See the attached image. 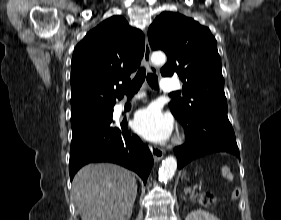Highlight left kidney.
<instances>
[{"label":"left kidney","mask_w":281,"mask_h":220,"mask_svg":"<svg viewBox=\"0 0 281 220\" xmlns=\"http://www.w3.org/2000/svg\"><path fill=\"white\" fill-rule=\"evenodd\" d=\"M185 220H219V219L207 211L198 209L189 213L186 216Z\"/></svg>","instance_id":"left-kidney-1"}]
</instances>
